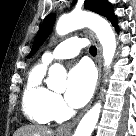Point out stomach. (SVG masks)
<instances>
[{
    "instance_id": "0dacf381",
    "label": "stomach",
    "mask_w": 136,
    "mask_h": 136,
    "mask_svg": "<svg viewBox=\"0 0 136 136\" xmlns=\"http://www.w3.org/2000/svg\"><path fill=\"white\" fill-rule=\"evenodd\" d=\"M59 136H68L67 134H60Z\"/></svg>"
}]
</instances>
